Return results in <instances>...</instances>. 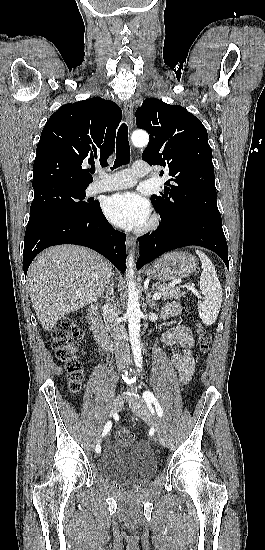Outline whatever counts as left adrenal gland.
<instances>
[{"instance_id":"left-adrenal-gland-1","label":"left adrenal gland","mask_w":265,"mask_h":550,"mask_svg":"<svg viewBox=\"0 0 265 550\" xmlns=\"http://www.w3.org/2000/svg\"><path fill=\"white\" fill-rule=\"evenodd\" d=\"M146 304H148L155 311L159 310V306L154 301L151 300V293L146 294Z\"/></svg>"}]
</instances>
